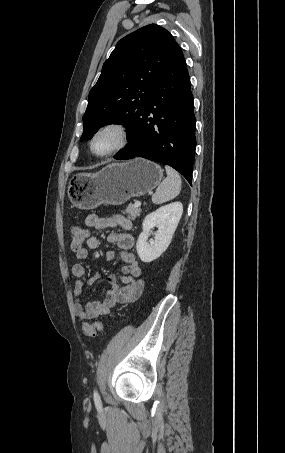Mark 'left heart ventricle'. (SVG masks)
<instances>
[{
    "label": "left heart ventricle",
    "mask_w": 285,
    "mask_h": 453,
    "mask_svg": "<svg viewBox=\"0 0 285 453\" xmlns=\"http://www.w3.org/2000/svg\"><path fill=\"white\" fill-rule=\"evenodd\" d=\"M118 143V136L113 131L100 134L94 141V150L99 153H106L114 148Z\"/></svg>",
    "instance_id": "left-heart-ventricle-1"
}]
</instances>
